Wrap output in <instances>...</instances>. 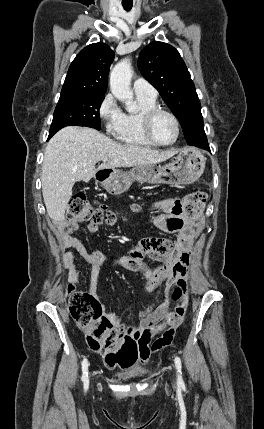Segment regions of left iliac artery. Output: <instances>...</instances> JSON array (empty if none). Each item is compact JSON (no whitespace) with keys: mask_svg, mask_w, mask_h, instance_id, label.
<instances>
[{"mask_svg":"<svg viewBox=\"0 0 264 429\" xmlns=\"http://www.w3.org/2000/svg\"><path fill=\"white\" fill-rule=\"evenodd\" d=\"M174 362L178 372V383L180 385H184L183 378H182V371H181V368H182L181 359L179 357H175Z\"/></svg>","mask_w":264,"mask_h":429,"instance_id":"left-iliac-artery-1","label":"left iliac artery"}]
</instances>
